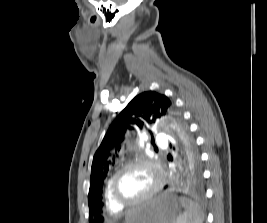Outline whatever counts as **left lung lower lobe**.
Instances as JSON below:
<instances>
[{"instance_id": "left-lung-lower-lobe-1", "label": "left lung lower lobe", "mask_w": 267, "mask_h": 223, "mask_svg": "<svg viewBox=\"0 0 267 223\" xmlns=\"http://www.w3.org/2000/svg\"><path fill=\"white\" fill-rule=\"evenodd\" d=\"M182 176H189L185 189H201L199 181L204 176V171H182ZM165 182H182V177H165Z\"/></svg>"}]
</instances>
